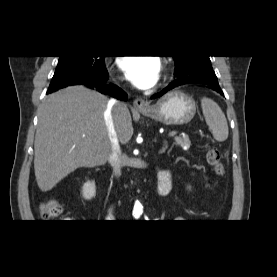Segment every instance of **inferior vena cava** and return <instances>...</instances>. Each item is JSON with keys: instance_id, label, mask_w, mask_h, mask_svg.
Segmentation results:
<instances>
[{"instance_id": "inferior-vena-cava-1", "label": "inferior vena cava", "mask_w": 277, "mask_h": 277, "mask_svg": "<svg viewBox=\"0 0 277 277\" xmlns=\"http://www.w3.org/2000/svg\"><path fill=\"white\" fill-rule=\"evenodd\" d=\"M126 105L122 102L111 99L107 103L106 110L104 112V121L108 133V137L111 143V152L109 154L108 161L113 169V174L118 177L121 175L122 168V153L118 142V137L115 131L113 123V110H122Z\"/></svg>"}]
</instances>
